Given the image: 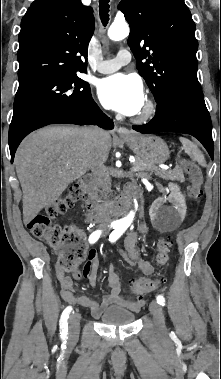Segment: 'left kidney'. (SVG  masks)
<instances>
[{
	"label": "left kidney",
	"mask_w": 221,
	"mask_h": 379,
	"mask_svg": "<svg viewBox=\"0 0 221 379\" xmlns=\"http://www.w3.org/2000/svg\"><path fill=\"white\" fill-rule=\"evenodd\" d=\"M169 200L173 206L166 207L161 199H156L149 210L153 225L157 229L172 230L178 227L185 218L187 207L185 197L177 184L170 183Z\"/></svg>",
	"instance_id": "5707ae66"
}]
</instances>
